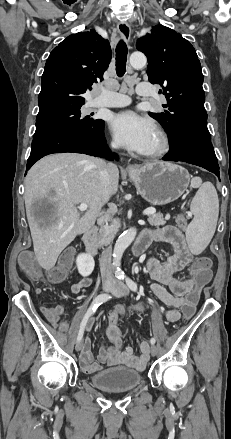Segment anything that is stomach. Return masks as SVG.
I'll return each mask as SVG.
<instances>
[{
	"mask_svg": "<svg viewBox=\"0 0 231 439\" xmlns=\"http://www.w3.org/2000/svg\"><path fill=\"white\" fill-rule=\"evenodd\" d=\"M128 174L137 192L153 205H165L177 200L187 190L190 181L189 173L172 163H149Z\"/></svg>",
	"mask_w": 231,
	"mask_h": 439,
	"instance_id": "obj_1",
	"label": "stomach"
}]
</instances>
